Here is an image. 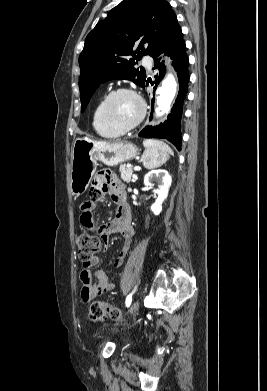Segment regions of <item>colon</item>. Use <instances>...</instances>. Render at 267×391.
Wrapping results in <instances>:
<instances>
[{
	"instance_id": "5ec220e1",
	"label": "colon",
	"mask_w": 267,
	"mask_h": 391,
	"mask_svg": "<svg viewBox=\"0 0 267 391\" xmlns=\"http://www.w3.org/2000/svg\"><path fill=\"white\" fill-rule=\"evenodd\" d=\"M76 244L78 248V257L83 265H88L93 257L100 251L102 247V238L90 233H80L77 236ZM122 313L119 308L112 306L106 302H92L87 314V319L90 321H103L107 317L114 320L120 319Z\"/></svg>"
}]
</instances>
